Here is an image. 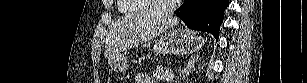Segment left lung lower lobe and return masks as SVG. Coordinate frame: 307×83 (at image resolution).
I'll return each instance as SVG.
<instances>
[{"mask_svg":"<svg viewBox=\"0 0 307 83\" xmlns=\"http://www.w3.org/2000/svg\"><path fill=\"white\" fill-rule=\"evenodd\" d=\"M229 0H185L176 16L191 29L211 33L217 40Z\"/></svg>","mask_w":307,"mask_h":83,"instance_id":"1","label":"left lung lower lobe"}]
</instances>
